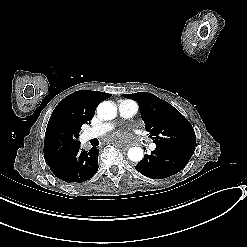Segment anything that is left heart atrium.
I'll return each mask as SVG.
<instances>
[{
  "label": "left heart atrium",
  "mask_w": 247,
  "mask_h": 247,
  "mask_svg": "<svg viewBox=\"0 0 247 247\" xmlns=\"http://www.w3.org/2000/svg\"><path fill=\"white\" fill-rule=\"evenodd\" d=\"M135 130H125L119 127L111 133L101 135V142L103 144H112L118 147H125L128 140L134 135ZM101 134V133H99Z\"/></svg>",
  "instance_id": "1"
}]
</instances>
